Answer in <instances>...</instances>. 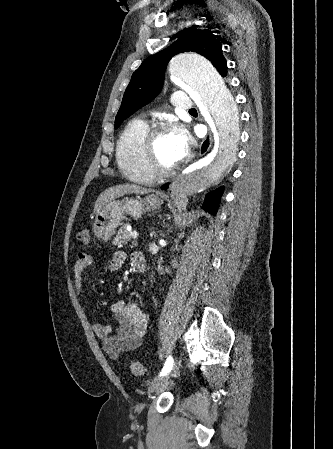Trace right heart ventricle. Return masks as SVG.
Returning <instances> with one entry per match:
<instances>
[{"label": "right heart ventricle", "instance_id": "e07e8e85", "mask_svg": "<svg viewBox=\"0 0 333 449\" xmlns=\"http://www.w3.org/2000/svg\"><path fill=\"white\" fill-rule=\"evenodd\" d=\"M148 131L144 120L130 121L121 132L116 144V161L123 175L130 181L149 184L154 177L147 170L143 153L142 141Z\"/></svg>", "mask_w": 333, "mask_h": 449}]
</instances>
